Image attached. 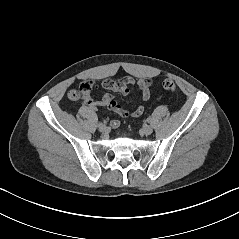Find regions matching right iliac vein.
<instances>
[{"label":"right iliac vein","instance_id":"63e3f726","mask_svg":"<svg viewBox=\"0 0 239 239\" xmlns=\"http://www.w3.org/2000/svg\"><path fill=\"white\" fill-rule=\"evenodd\" d=\"M99 131L105 133L107 131V127L105 125H102L99 127Z\"/></svg>","mask_w":239,"mask_h":239}]
</instances>
